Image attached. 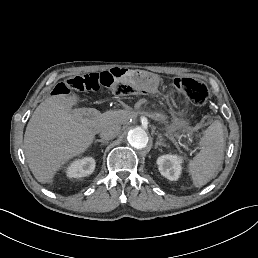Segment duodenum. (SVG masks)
I'll return each mask as SVG.
<instances>
[{
    "mask_svg": "<svg viewBox=\"0 0 258 258\" xmlns=\"http://www.w3.org/2000/svg\"><path fill=\"white\" fill-rule=\"evenodd\" d=\"M106 76L113 82H126L135 78V71L124 66H116L106 71Z\"/></svg>",
    "mask_w": 258,
    "mask_h": 258,
    "instance_id": "obj_1",
    "label": "duodenum"
}]
</instances>
